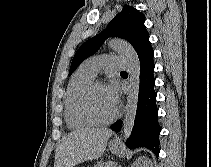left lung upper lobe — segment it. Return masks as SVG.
Instances as JSON below:
<instances>
[{"mask_svg":"<svg viewBox=\"0 0 211 167\" xmlns=\"http://www.w3.org/2000/svg\"><path fill=\"white\" fill-rule=\"evenodd\" d=\"M145 15L136 8L125 5L108 24L107 28L97 36L86 41L75 53L71 63L69 76L85 58L93 55L108 37L126 39L135 49L139 60L153 49L149 42V34L144 25Z\"/></svg>","mask_w":211,"mask_h":167,"instance_id":"obj_1","label":"left lung upper lobe"}]
</instances>
